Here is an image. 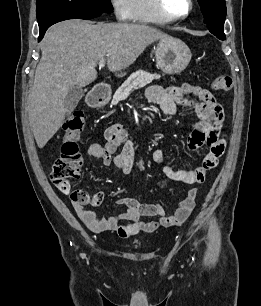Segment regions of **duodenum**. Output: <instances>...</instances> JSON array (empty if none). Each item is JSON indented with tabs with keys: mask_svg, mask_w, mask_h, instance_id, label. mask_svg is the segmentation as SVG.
I'll return each instance as SVG.
<instances>
[{
	"mask_svg": "<svg viewBox=\"0 0 261 306\" xmlns=\"http://www.w3.org/2000/svg\"><path fill=\"white\" fill-rule=\"evenodd\" d=\"M110 95V87L107 84H98L88 95V104L93 107H100Z\"/></svg>",
	"mask_w": 261,
	"mask_h": 306,
	"instance_id": "1",
	"label": "duodenum"
}]
</instances>
